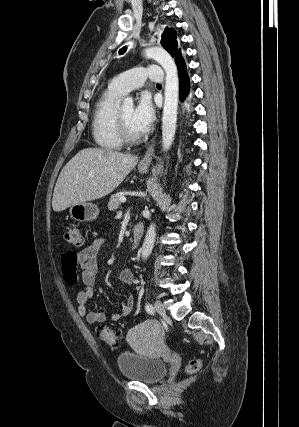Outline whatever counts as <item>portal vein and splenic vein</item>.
Instances as JSON below:
<instances>
[{
  "instance_id": "1",
  "label": "portal vein and splenic vein",
  "mask_w": 299,
  "mask_h": 427,
  "mask_svg": "<svg viewBox=\"0 0 299 427\" xmlns=\"http://www.w3.org/2000/svg\"><path fill=\"white\" fill-rule=\"evenodd\" d=\"M120 202H122V203L126 202V198L124 196L120 197Z\"/></svg>"
}]
</instances>
